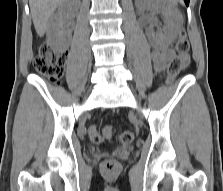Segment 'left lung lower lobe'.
<instances>
[{
  "label": "left lung lower lobe",
  "instance_id": "0a47b994",
  "mask_svg": "<svg viewBox=\"0 0 223 191\" xmlns=\"http://www.w3.org/2000/svg\"><path fill=\"white\" fill-rule=\"evenodd\" d=\"M184 1H185L186 5L188 6L190 0H184Z\"/></svg>",
  "mask_w": 223,
  "mask_h": 191
}]
</instances>
